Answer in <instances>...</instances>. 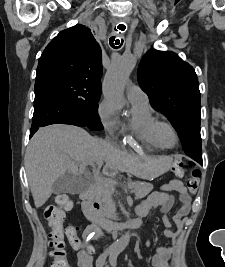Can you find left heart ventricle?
I'll list each match as a JSON object with an SVG mask.
<instances>
[{
	"label": "left heart ventricle",
	"mask_w": 225,
	"mask_h": 267,
	"mask_svg": "<svg viewBox=\"0 0 225 267\" xmlns=\"http://www.w3.org/2000/svg\"><path fill=\"white\" fill-rule=\"evenodd\" d=\"M162 138L163 141L168 145H172L175 142L174 134L169 128H164L162 130Z\"/></svg>",
	"instance_id": "b2bd125f"
}]
</instances>
